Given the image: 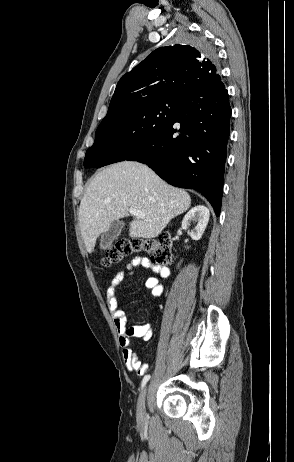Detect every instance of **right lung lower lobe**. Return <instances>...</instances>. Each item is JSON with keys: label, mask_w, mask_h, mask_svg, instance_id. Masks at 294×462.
Wrapping results in <instances>:
<instances>
[{"label": "right lung lower lobe", "mask_w": 294, "mask_h": 462, "mask_svg": "<svg viewBox=\"0 0 294 462\" xmlns=\"http://www.w3.org/2000/svg\"><path fill=\"white\" fill-rule=\"evenodd\" d=\"M230 117L228 92L219 77L188 92L170 122L125 160L147 164L173 186L198 190L219 216ZM102 166L100 153L84 159V167Z\"/></svg>", "instance_id": "1"}]
</instances>
